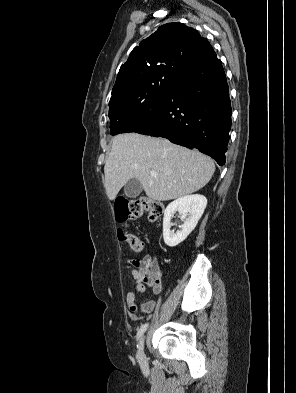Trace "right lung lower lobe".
I'll list each match as a JSON object with an SVG mask.
<instances>
[{"mask_svg":"<svg viewBox=\"0 0 296 393\" xmlns=\"http://www.w3.org/2000/svg\"><path fill=\"white\" fill-rule=\"evenodd\" d=\"M229 87L213 48L181 73L174 86L120 133L136 132L198 149L225 164L231 129Z\"/></svg>","mask_w":296,"mask_h":393,"instance_id":"obj_1","label":"right lung lower lobe"}]
</instances>
